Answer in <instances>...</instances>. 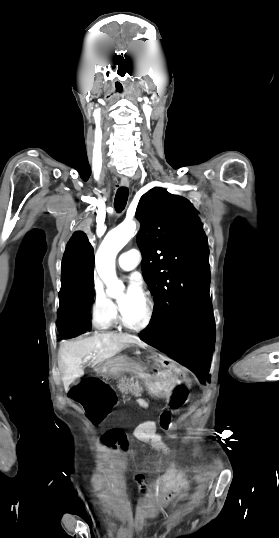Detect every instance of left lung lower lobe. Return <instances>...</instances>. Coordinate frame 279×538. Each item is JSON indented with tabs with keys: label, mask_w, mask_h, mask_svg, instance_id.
I'll return each mask as SVG.
<instances>
[{
	"label": "left lung lower lobe",
	"mask_w": 279,
	"mask_h": 538,
	"mask_svg": "<svg viewBox=\"0 0 279 538\" xmlns=\"http://www.w3.org/2000/svg\"><path fill=\"white\" fill-rule=\"evenodd\" d=\"M139 337L194 372L207 378L215 341V322L210 296L189 305L167 329L152 333L143 330Z\"/></svg>",
	"instance_id": "obj_1"
}]
</instances>
